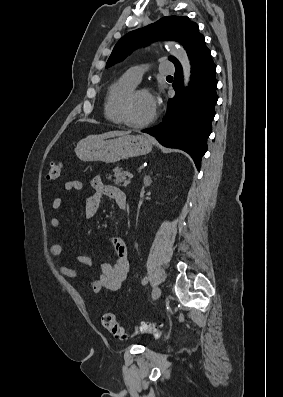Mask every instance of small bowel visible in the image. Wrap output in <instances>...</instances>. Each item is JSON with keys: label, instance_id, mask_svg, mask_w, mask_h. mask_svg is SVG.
I'll return each instance as SVG.
<instances>
[{"label": "small bowel", "instance_id": "c3829d8e", "mask_svg": "<svg viewBox=\"0 0 283 397\" xmlns=\"http://www.w3.org/2000/svg\"><path fill=\"white\" fill-rule=\"evenodd\" d=\"M64 187L68 191L81 190L83 183L80 180H70L65 182ZM91 187L93 193L87 198L85 204L86 219L91 220L97 216L104 197L112 199L121 209L127 206L125 193L115 186L104 184L100 177L96 176L91 180ZM62 203V198L57 196L52 202V208L58 210L61 208ZM50 225L52 228L59 230L61 228V221L57 217H52L50 219ZM110 243L115 252L116 260L114 263H103L100 265L99 277L90 283L91 290L95 293L104 289L111 292L119 291L129 271L128 253L125 242L120 238H112ZM62 252L63 246L59 243H54L49 247V254L52 257L60 256ZM76 260L78 263L86 266L93 265V260L88 256L79 255L76 257ZM58 271L61 275L70 279L81 280V274L76 268L61 266L58 268Z\"/></svg>", "mask_w": 283, "mask_h": 397}]
</instances>
